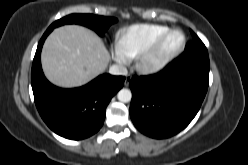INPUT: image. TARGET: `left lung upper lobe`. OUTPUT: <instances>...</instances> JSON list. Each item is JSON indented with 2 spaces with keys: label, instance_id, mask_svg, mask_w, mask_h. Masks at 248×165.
<instances>
[{
  "label": "left lung upper lobe",
  "instance_id": "left-lung-upper-lobe-1",
  "mask_svg": "<svg viewBox=\"0 0 248 165\" xmlns=\"http://www.w3.org/2000/svg\"><path fill=\"white\" fill-rule=\"evenodd\" d=\"M190 31H191V34H192L194 40H193V42H190L186 45L185 50H188L194 46H205L203 44V42L200 40V38L192 30H190Z\"/></svg>",
  "mask_w": 248,
  "mask_h": 165
}]
</instances>
